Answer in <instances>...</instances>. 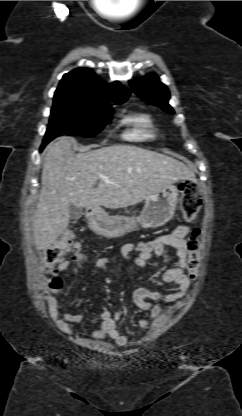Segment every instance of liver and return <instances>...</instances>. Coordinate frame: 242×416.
<instances>
[{
  "instance_id": "obj_1",
  "label": "liver",
  "mask_w": 242,
  "mask_h": 416,
  "mask_svg": "<svg viewBox=\"0 0 242 416\" xmlns=\"http://www.w3.org/2000/svg\"><path fill=\"white\" fill-rule=\"evenodd\" d=\"M71 147L72 140L66 137L47 146L33 220L37 250L48 249L67 229L70 205L94 211L125 208L195 176L182 162L136 146L114 145L78 154Z\"/></svg>"
}]
</instances>
